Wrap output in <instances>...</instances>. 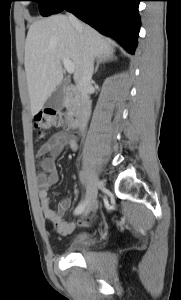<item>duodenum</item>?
<instances>
[{"mask_svg":"<svg viewBox=\"0 0 181 300\" xmlns=\"http://www.w3.org/2000/svg\"><path fill=\"white\" fill-rule=\"evenodd\" d=\"M69 110L70 119L69 124L72 129L80 127L86 117L87 106L83 101L82 96L79 92L73 89L69 94Z\"/></svg>","mask_w":181,"mask_h":300,"instance_id":"obj_1","label":"duodenum"}]
</instances>
